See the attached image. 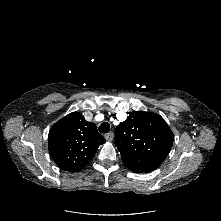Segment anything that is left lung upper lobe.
Wrapping results in <instances>:
<instances>
[{
  "mask_svg": "<svg viewBox=\"0 0 221 221\" xmlns=\"http://www.w3.org/2000/svg\"><path fill=\"white\" fill-rule=\"evenodd\" d=\"M173 139L168 124L154 112H132L115 130V146L122 161L136 173L157 169L168 155Z\"/></svg>",
  "mask_w": 221,
  "mask_h": 221,
  "instance_id": "left-lung-upper-lobe-1",
  "label": "left lung upper lobe"
}]
</instances>
